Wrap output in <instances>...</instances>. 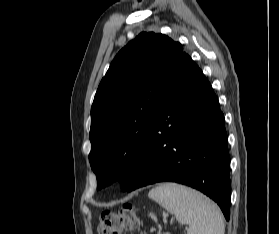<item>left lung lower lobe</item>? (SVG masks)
Here are the masks:
<instances>
[{
	"mask_svg": "<svg viewBox=\"0 0 279 234\" xmlns=\"http://www.w3.org/2000/svg\"><path fill=\"white\" fill-rule=\"evenodd\" d=\"M230 157L224 115L209 81L183 52L153 116L141 161L126 190L161 181L191 186L230 217Z\"/></svg>",
	"mask_w": 279,
	"mask_h": 234,
	"instance_id": "left-lung-lower-lobe-1",
	"label": "left lung lower lobe"
}]
</instances>
